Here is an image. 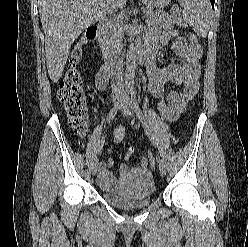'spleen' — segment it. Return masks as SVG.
Wrapping results in <instances>:
<instances>
[{
  "label": "spleen",
  "mask_w": 248,
  "mask_h": 247,
  "mask_svg": "<svg viewBox=\"0 0 248 247\" xmlns=\"http://www.w3.org/2000/svg\"><path fill=\"white\" fill-rule=\"evenodd\" d=\"M183 7V20L199 37H206L210 28L212 9L209 0H178Z\"/></svg>",
  "instance_id": "obj_1"
}]
</instances>
